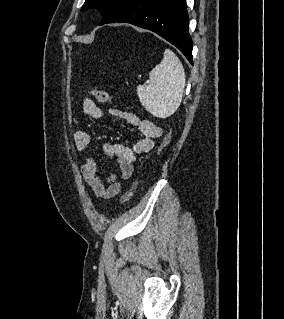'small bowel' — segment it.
<instances>
[{"mask_svg":"<svg viewBox=\"0 0 284 319\" xmlns=\"http://www.w3.org/2000/svg\"><path fill=\"white\" fill-rule=\"evenodd\" d=\"M82 111L85 115L94 119H103L107 116H113L138 127L142 137L132 147L121 143L103 144L104 153L117 160L120 177L123 180H128L132 176L137 158L151 151L155 145V140L162 135V129L153 121L140 119L134 113L127 111L105 109L98 106L91 99H84L82 101ZM73 139L77 151L87 154L82 167V175L93 193L101 199H110L117 196L121 192V183L118 180V176L111 174L105 179L101 177L97 163L92 155L90 134L83 127L78 126L73 135Z\"/></svg>","mask_w":284,"mask_h":319,"instance_id":"obj_1","label":"small bowel"}]
</instances>
